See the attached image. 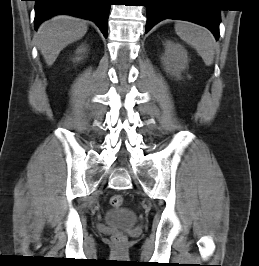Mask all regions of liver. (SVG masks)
<instances>
[{"instance_id": "obj_1", "label": "liver", "mask_w": 259, "mask_h": 266, "mask_svg": "<svg viewBox=\"0 0 259 266\" xmlns=\"http://www.w3.org/2000/svg\"><path fill=\"white\" fill-rule=\"evenodd\" d=\"M87 29L86 21L67 15H59L42 23L37 33V44L46 64L53 65L59 53L81 39Z\"/></svg>"}]
</instances>
